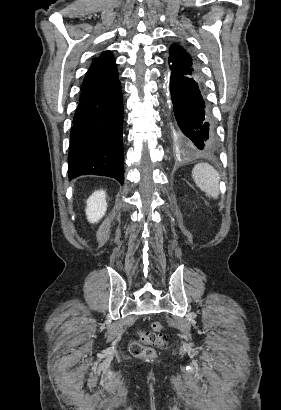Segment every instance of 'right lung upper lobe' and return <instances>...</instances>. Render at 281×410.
<instances>
[{
	"mask_svg": "<svg viewBox=\"0 0 281 410\" xmlns=\"http://www.w3.org/2000/svg\"><path fill=\"white\" fill-rule=\"evenodd\" d=\"M118 80V72L111 52L95 58L83 80L81 95L104 89Z\"/></svg>",
	"mask_w": 281,
	"mask_h": 410,
	"instance_id": "obj_1",
	"label": "right lung upper lobe"
}]
</instances>
